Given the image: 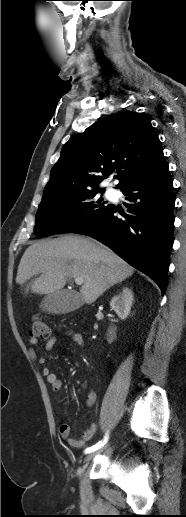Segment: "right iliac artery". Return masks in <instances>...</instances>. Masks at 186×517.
I'll use <instances>...</instances> for the list:
<instances>
[{
  "label": "right iliac artery",
  "mask_w": 186,
  "mask_h": 517,
  "mask_svg": "<svg viewBox=\"0 0 186 517\" xmlns=\"http://www.w3.org/2000/svg\"><path fill=\"white\" fill-rule=\"evenodd\" d=\"M107 441H108V433H106V435L104 436V439L102 441H99L97 444L86 448L84 451L85 454L94 452V451L102 448L107 443Z\"/></svg>",
  "instance_id": "obj_1"
}]
</instances>
